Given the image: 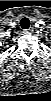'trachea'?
Masks as SVG:
<instances>
[{"label": "trachea", "mask_w": 51, "mask_h": 101, "mask_svg": "<svg viewBox=\"0 0 51 101\" xmlns=\"http://www.w3.org/2000/svg\"><path fill=\"white\" fill-rule=\"evenodd\" d=\"M20 26L23 28V29H28L30 27V21L28 18L24 17L21 19L20 21Z\"/></svg>", "instance_id": "trachea-1"}]
</instances>
